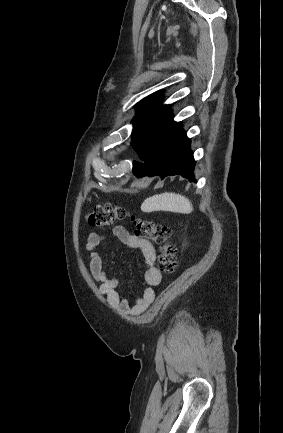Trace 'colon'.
I'll list each match as a JSON object with an SVG mask.
<instances>
[{"mask_svg": "<svg viewBox=\"0 0 283 433\" xmlns=\"http://www.w3.org/2000/svg\"><path fill=\"white\" fill-rule=\"evenodd\" d=\"M128 216L129 214L125 208L107 203L94 207V209L86 215V221L89 226L93 228L103 229L113 226L117 222L126 219ZM131 221L136 237L152 240L159 245L160 270L166 274L174 273L178 265V257L176 248L171 241V228L151 220L136 218L134 216H131Z\"/></svg>", "mask_w": 283, "mask_h": 433, "instance_id": "colon-1", "label": "colon"}]
</instances>
